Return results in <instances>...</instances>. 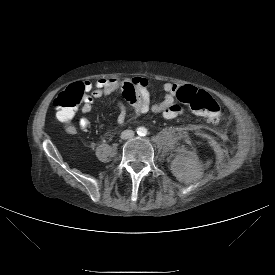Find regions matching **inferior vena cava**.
Returning <instances> with one entry per match:
<instances>
[{
	"label": "inferior vena cava",
	"instance_id": "obj_1",
	"mask_svg": "<svg viewBox=\"0 0 275 275\" xmlns=\"http://www.w3.org/2000/svg\"><path fill=\"white\" fill-rule=\"evenodd\" d=\"M134 136V131L132 130H124L122 133H121V138L122 139H130Z\"/></svg>",
	"mask_w": 275,
	"mask_h": 275
}]
</instances>
